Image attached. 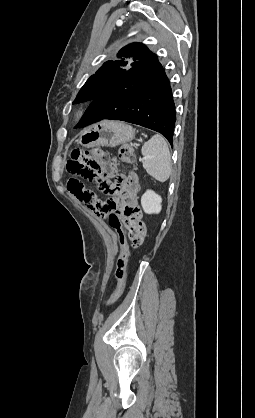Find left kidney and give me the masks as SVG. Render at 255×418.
Instances as JSON below:
<instances>
[{
  "mask_svg": "<svg viewBox=\"0 0 255 418\" xmlns=\"http://www.w3.org/2000/svg\"><path fill=\"white\" fill-rule=\"evenodd\" d=\"M162 198L152 190H147L141 197V205L145 213L158 214L162 206Z\"/></svg>",
  "mask_w": 255,
  "mask_h": 418,
  "instance_id": "obj_1",
  "label": "left kidney"
}]
</instances>
